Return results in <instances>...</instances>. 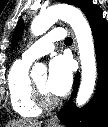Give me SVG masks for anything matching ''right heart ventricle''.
I'll return each instance as SVG.
<instances>
[{"mask_svg": "<svg viewBox=\"0 0 108 127\" xmlns=\"http://www.w3.org/2000/svg\"><path fill=\"white\" fill-rule=\"evenodd\" d=\"M30 62L17 60L8 73V92L13 110L22 117H37L42 109L35 102L32 81L29 77Z\"/></svg>", "mask_w": 108, "mask_h": 127, "instance_id": "obj_1", "label": "right heart ventricle"}]
</instances>
